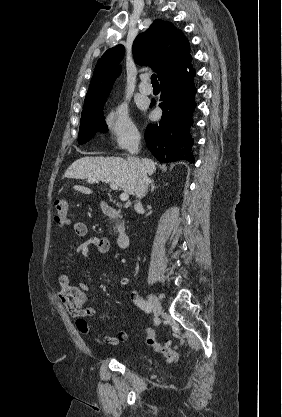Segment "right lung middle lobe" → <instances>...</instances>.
<instances>
[{"label":"right lung middle lobe","instance_id":"right-lung-middle-lobe-1","mask_svg":"<svg viewBox=\"0 0 282 417\" xmlns=\"http://www.w3.org/2000/svg\"><path fill=\"white\" fill-rule=\"evenodd\" d=\"M109 93L85 98L78 135L79 144L88 142L96 132H107L104 121L103 107Z\"/></svg>","mask_w":282,"mask_h":417}]
</instances>
